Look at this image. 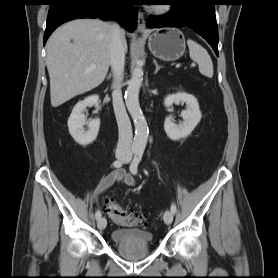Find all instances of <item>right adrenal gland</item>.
<instances>
[{
  "instance_id": "obj_1",
  "label": "right adrenal gland",
  "mask_w": 278,
  "mask_h": 278,
  "mask_svg": "<svg viewBox=\"0 0 278 278\" xmlns=\"http://www.w3.org/2000/svg\"><path fill=\"white\" fill-rule=\"evenodd\" d=\"M107 79H111V74H109V76L107 77Z\"/></svg>"
}]
</instances>
